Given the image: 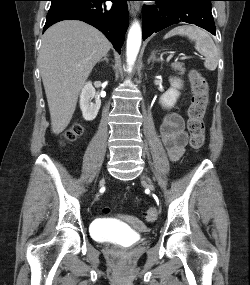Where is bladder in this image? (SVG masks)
Listing matches in <instances>:
<instances>
[{
  "instance_id": "31cf9c89",
  "label": "bladder",
  "mask_w": 250,
  "mask_h": 285,
  "mask_svg": "<svg viewBox=\"0 0 250 285\" xmlns=\"http://www.w3.org/2000/svg\"><path fill=\"white\" fill-rule=\"evenodd\" d=\"M93 235L102 242H126L135 243L138 237L129 233L120 226L109 224L105 221H97L93 225Z\"/></svg>"
}]
</instances>
